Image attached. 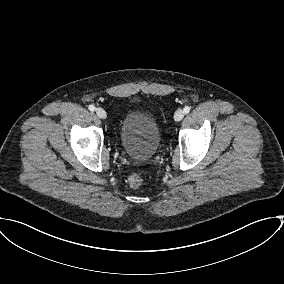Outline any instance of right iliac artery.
Segmentation results:
<instances>
[{
	"label": "right iliac artery",
	"mask_w": 284,
	"mask_h": 284,
	"mask_svg": "<svg viewBox=\"0 0 284 284\" xmlns=\"http://www.w3.org/2000/svg\"><path fill=\"white\" fill-rule=\"evenodd\" d=\"M88 109H89L90 111H94L96 108H95L94 105H89Z\"/></svg>",
	"instance_id": "82829eb1"
}]
</instances>
